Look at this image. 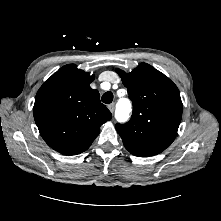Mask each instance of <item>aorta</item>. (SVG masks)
I'll return each mask as SVG.
<instances>
[{"mask_svg": "<svg viewBox=\"0 0 221 221\" xmlns=\"http://www.w3.org/2000/svg\"><path fill=\"white\" fill-rule=\"evenodd\" d=\"M131 103L128 99H120L116 106L115 117L118 121H127L130 117Z\"/></svg>", "mask_w": 221, "mask_h": 221, "instance_id": "1", "label": "aorta"}]
</instances>
